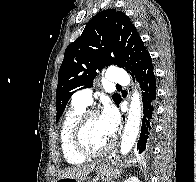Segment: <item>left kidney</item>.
<instances>
[{
	"label": "left kidney",
	"mask_w": 196,
	"mask_h": 182,
	"mask_svg": "<svg viewBox=\"0 0 196 182\" xmlns=\"http://www.w3.org/2000/svg\"><path fill=\"white\" fill-rule=\"evenodd\" d=\"M124 182H140V180L138 179V177L134 176V177H129Z\"/></svg>",
	"instance_id": "1"
}]
</instances>
